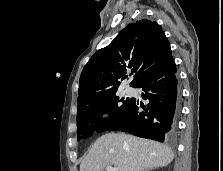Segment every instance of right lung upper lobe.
I'll use <instances>...</instances> for the list:
<instances>
[{
  "instance_id": "cb5924a9",
  "label": "right lung upper lobe",
  "mask_w": 223,
  "mask_h": 171,
  "mask_svg": "<svg viewBox=\"0 0 223 171\" xmlns=\"http://www.w3.org/2000/svg\"><path fill=\"white\" fill-rule=\"evenodd\" d=\"M171 59L170 44L158 23L143 19L129 24L85 65L77 108L116 93L127 70L135 74L130 86L137 87Z\"/></svg>"
}]
</instances>
